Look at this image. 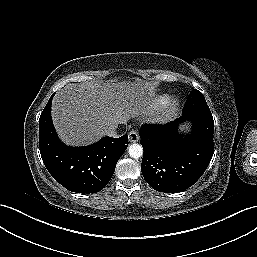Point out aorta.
<instances>
[{
    "mask_svg": "<svg viewBox=\"0 0 257 257\" xmlns=\"http://www.w3.org/2000/svg\"><path fill=\"white\" fill-rule=\"evenodd\" d=\"M129 155L132 158H140L143 155V148L140 144H131L128 149Z\"/></svg>",
    "mask_w": 257,
    "mask_h": 257,
    "instance_id": "obj_1",
    "label": "aorta"
}]
</instances>
